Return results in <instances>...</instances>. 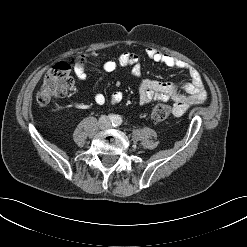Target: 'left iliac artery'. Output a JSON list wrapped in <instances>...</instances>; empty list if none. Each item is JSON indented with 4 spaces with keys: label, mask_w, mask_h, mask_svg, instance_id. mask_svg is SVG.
<instances>
[{
    "label": "left iliac artery",
    "mask_w": 247,
    "mask_h": 247,
    "mask_svg": "<svg viewBox=\"0 0 247 247\" xmlns=\"http://www.w3.org/2000/svg\"><path fill=\"white\" fill-rule=\"evenodd\" d=\"M120 124H121V120L118 118L113 124V126H119Z\"/></svg>",
    "instance_id": "1"
}]
</instances>
